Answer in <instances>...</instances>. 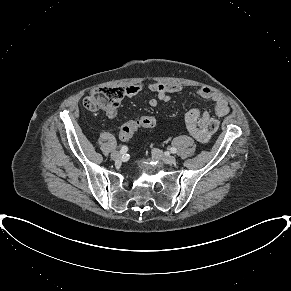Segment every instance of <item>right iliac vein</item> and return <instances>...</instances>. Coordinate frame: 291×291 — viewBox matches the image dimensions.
Masks as SVG:
<instances>
[{
	"label": "right iliac vein",
	"mask_w": 291,
	"mask_h": 291,
	"mask_svg": "<svg viewBox=\"0 0 291 291\" xmlns=\"http://www.w3.org/2000/svg\"><path fill=\"white\" fill-rule=\"evenodd\" d=\"M121 157H122V153L121 152L114 151V152L111 153V158L113 160H119V159H121Z\"/></svg>",
	"instance_id": "63e3f726"
}]
</instances>
